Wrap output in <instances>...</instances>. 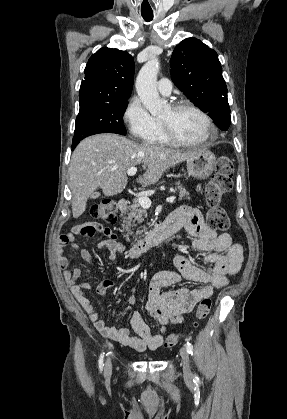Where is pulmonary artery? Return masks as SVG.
<instances>
[{
	"label": "pulmonary artery",
	"mask_w": 287,
	"mask_h": 419,
	"mask_svg": "<svg viewBox=\"0 0 287 419\" xmlns=\"http://www.w3.org/2000/svg\"><path fill=\"white\" fill-rule=\"evenodd\" d=\"M157 88L162 95H169L172 91V83L169 79L162 78L158 81Z\"/></svg>",
	"instance_id": "e3ab8cb5"
}]
</instances>
